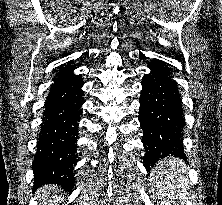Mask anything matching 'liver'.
Wrapping results in <instances>:
<instances>
[{
	"instance_id": "6515ba94",
	"label": "liver",
	"mask_w": 222,
	"mask_h": 205,
	"mask_svg": "<svg viewBox=\"0 0 222 205\" xmlns=\"http://www.w3.org/2000/svg\"><path fill=\"white\" fill-rule=\"evenodd\" d=\"M59 190L57 185H48L39 189L38 196L42 198V205H54L55 200L50 197V194H55Z\"/></svg>"
}]
</instances>
